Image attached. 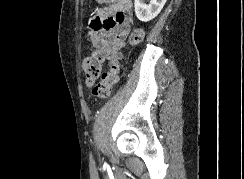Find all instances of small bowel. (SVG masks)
<instances>
[{
    "instance_id": "c3829d8e",
    "label": "small bowel",
    "mask_w": 244,
    "mask_h": 179,
    "mask_svg": "<svg viewBox=\"0 0 244 179\" xmlns=\"http://www.w3.org/2000/svg\"><path fill=\"white\" fill-rule=\"evenodd\" d=\"M125 3L126 0H120ZM128 12L126 4H113L95 9L89 20L87 39L95 48H102L110 64L120 57V50L124 45V38L130 31L126 21Z\"/></svg>"
}]
</instances>
